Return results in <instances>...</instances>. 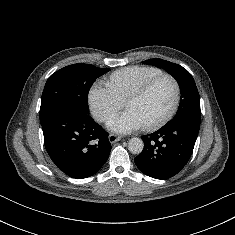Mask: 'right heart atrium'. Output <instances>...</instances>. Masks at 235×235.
Listing matches in <instances>:
<instances>
[{
	"mask_svg": "<svg viewBox=\"0 0 235 235\" xmlns=\"http://www.w3.org/2000/svg\"><path fill=\"white\" fill-rule=\"evenodd\" d=\"M88 102L92 115L100 122H106L124 106L108 83L96 82L88 94Z\"/></svg>",
	"mask_w": 235,
	"mask_h": 235,
	"instance_id": "right-heart-atrium-1",
	"label": "right heart atrium"
}]
</instances>
